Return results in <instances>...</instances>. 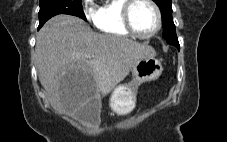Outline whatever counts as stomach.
Masks as SVG:
<instances>
[{
  "label": "stomach",
  "instance_id": "1",
  "mask_svg": "<svg viewBox=\"0 0 227 142\" xmlns=\"http://www.w3.org/2000/svg\"><path fill=\"white\" fill-rule=\"evenodd\" d=\"M131 71L132 80L117 86L110 97L111 108L120 115H126L133 110L139 85L158 79L163 66L156 58H145L139 60Z\"/></svg>",
  "mask_w": 227,
  "mask_h": 142
}]
</instances>
